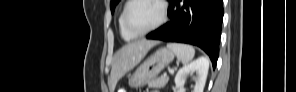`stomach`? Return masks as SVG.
Wrapping results in <instances>:
<instances>
[{"mask_svg":"<svg viewBox=\"0 0 296 92\" xmlns=\"http://www.w3.org/2000/svg\"><path fill=\"white\" fill-rule=\"evenodd\" d=\"M174 59V53L168 48H160L150 55L129 79V86L139 88L155 79Z\"/></svg>","mask_w":296,"mask_h":92,"instance_id":"obj_1","label":"stomach"}]
</instances>
